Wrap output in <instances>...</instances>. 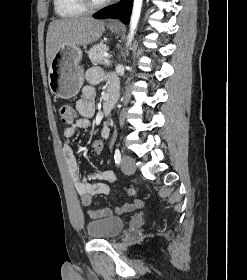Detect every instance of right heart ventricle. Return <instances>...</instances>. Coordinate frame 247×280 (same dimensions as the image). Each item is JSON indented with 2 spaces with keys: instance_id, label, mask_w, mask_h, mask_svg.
Returning <instances> with one entry per match:
<instances>
[{
  "instance_id": "right-heart-ventricle-1",
  "label": "right heart ventricle",
  "mask_w": 247,
  "mask_h": 280,
  "mask_svg": "<svg viewBox=\"0 0 247 280\" xmlns=\"http://www.w3.org/2000/svg\"><path fill=\"white\" fill-rule=\"evenodd\" d=\"M54 9L62 18H75L87 13L80 0H54Z\"/></svg>"
}]
</instances>
